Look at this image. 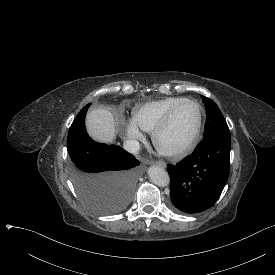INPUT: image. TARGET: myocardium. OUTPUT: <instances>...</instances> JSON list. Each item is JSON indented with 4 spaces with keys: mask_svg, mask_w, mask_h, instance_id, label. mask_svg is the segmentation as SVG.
<instances>
[{
    "mask_svg": "<svg viewBox=\"0 0 275 275\" xmlns=\"http://www.w3.org/2000/svg\"><path fill=\"white\" fill-rule=\"evenodd\" d=\"M185 103H190L193 104L196 108L197 111V118L196 122L194 125L193 130L189 134V136L178 146L175 147H166L161 144L160 139L161 137L165 134V132L169 129L172 118L176 110L178 109L179 106ZM202 126V109L199 103L193 99H184L183 101H180L176 103L165 115L164 119L160 124H158L154 130L152 131L151 139H152V144L155 148V150L160 153L161 155L164 156H169V157H174V156H179L187 152L194 144L196 141L200 130Z\"/></svg>",
    "mask_w": 275,
    "mask_h": 275,
    "instance_id": "obj_1",
    "label": "myocardium"
}]
</instances>
